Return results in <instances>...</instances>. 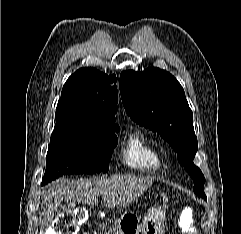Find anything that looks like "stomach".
Masks as SVG:
<instances>
[{"label": "stomach", "instance_id": "obj_1", "mask_svg": "<svg viewBox=\"0 0 241 234\" xmlns=\"http://www.w3.org/2000/svg\"><path fill=\"white\" fill-rule=\"evenodd\" d=\"M165 211L154 208L142 221L131 213H124L118 220L119 234H164Z\"/></svg>", "mask_w": 241, "mask_h": 234}]
</instances>
